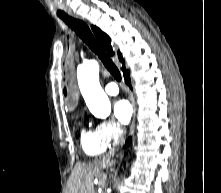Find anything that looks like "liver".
Masks as SVG:
<instances>
[{"label":"liver","instance_id":"1","mask_svg":"<svg viewBox=\"0 0 221 193\" xmlns=\"http://www.w3.org/2000/svg\"><path fill=\"white\" fill-rule=\"evenodd\" d=\"M111 156L112 154L105 155L89 164L78 163L69 177L66 193H94V175L98 173L99 169L113 166L115 162Z\"/></svg>","mask_w":221,"mask_h":193}]
</instances>
